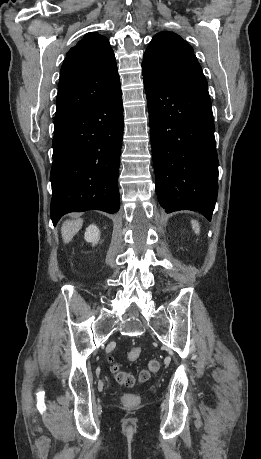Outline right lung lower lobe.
<instances>
[{
	"instance_id": "98d812e1",
	"label": "right lung lower lobe",
	"mask_w": 261,
	"mask_h": 459,
	"mask_svg": "<svg viewBox=\"0 0 261 459\" xmlns=\"http://www.w3.org/2000/svg\"><path fill=\"white\" fill-rule=\"evenodd\" d=\"M123 124L121 86L98 104L55 124L50 175L54 225L69 212L119 210Z\"/></svg>"
}]
</instances>
